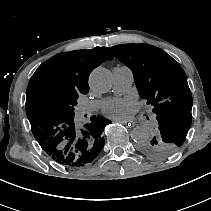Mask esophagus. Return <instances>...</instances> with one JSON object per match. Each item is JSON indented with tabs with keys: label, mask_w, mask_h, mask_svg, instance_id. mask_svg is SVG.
<instances>
[{
	"label": "esophagus",
	"mask_w": 211,
	"mask_h": 211,
	"mask_svg": "<svg viewBox=\"0 0 211 211\" xmlns=\"http://www.w3.org/2000/svg\"><path fill=\"white\" fill-rule=\"evenodd\" d=\"M118 123L125 124L129 130H132L134 128L135 123L132 120L124 119V120H118Z\"/></svg>",
	"instance_id": "obj_1"
}]
</instances>
